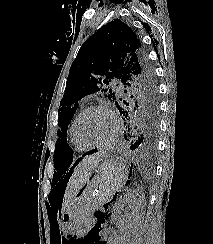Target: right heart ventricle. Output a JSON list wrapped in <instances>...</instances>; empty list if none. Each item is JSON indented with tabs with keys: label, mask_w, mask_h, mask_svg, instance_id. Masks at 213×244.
<instances>
[{
	"label": "right heart ventricle",
	"mask_w": 213,
	"mask_h": 244,
	"mask_svg": "<svg viewBox=\"0 0 213 244\" xmlns=\"http://www.w3.org/2000/svg\"><path fill=\"white\" fill-rule=\"evenodd\" d=\"M76 118H77V116L71 122L69 129H68L69 141H70L72 148L76 152H84L87 150V148H85L82 144H80L74 135V124H75Z\"/></svg>",
	"instance_id": "obj_1"
}]
</instances>
